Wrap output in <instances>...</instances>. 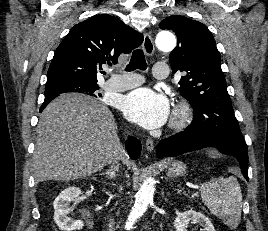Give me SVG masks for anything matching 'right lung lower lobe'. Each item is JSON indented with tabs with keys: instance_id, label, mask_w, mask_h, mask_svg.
Returning a JSON list of instances; mask_svg holds the SVG:
<instances>
[{
	"instance_id": "98d812e1",
	"label": "right lung lower lobe",
	"mask_w": 268,
	"mask_h": 231,
	"mask_svg": "<svg viewBox=\"0 0 268 231\" xmlns=\"http://www.w3.org/2000/svg\"><path fill=\"white\" fill-rule=\"evenodd\" d=\"M46 107V106H45ZM41 107L40 112L45 108ZM126 148L131 159L136 160L139 158L141 153V143L139 140L130 137L126 142Z\"/></svg>"
}]
</instances>
